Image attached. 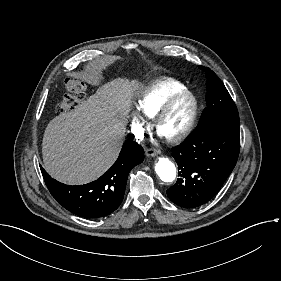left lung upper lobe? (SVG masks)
<instances>
[{"label":"left lung upper lobe","mask_w":281,"mask_h":281,"mask_svg":"<svg viewBox=\"0 0 281 281\" xmlns=\"http://www.w3.org/2000/svg\"><path fill=\"white\" fill-rule=\"evenodd\" d=\"M207 76V107L199 123H232L239 124V114L234 101L221 80L209 68L200 67Z\"/></svg>","instance_id":"obj_1"}]
</instances>
